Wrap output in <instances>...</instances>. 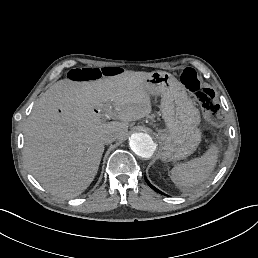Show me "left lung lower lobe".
Returning a JSON list of instances; mask_svg holds the SVG:
<instances>
[{"label":"left lung lower lobe","mask_w":258,"mask_h":258,"mask_svg":"<svg viewBox=\"0 0 258 258\" xmlns=\"http://www.w3.org/2000/svg\"><path fill=\"white\" fill-rule=\"evenodd\" d=\"M145 181L147 182V184L154 189L155 191L159 192L160 194H163L161 191H159L158 189H156L153 185L150 184V182L147 180V178L145 177ZM164 195V194H163Z\"/></svg>","instance_id":"0a47b994"}]
</instances>
